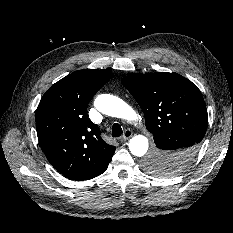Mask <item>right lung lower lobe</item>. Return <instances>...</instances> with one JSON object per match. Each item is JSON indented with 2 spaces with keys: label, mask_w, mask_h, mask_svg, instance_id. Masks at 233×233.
Instances as JSON below:
<instances>
[{
  "label": "right lung lower lobe",
  "mask_w": 233,
  "mask_h": 233,
  "mask_svg": "<svg viewBox=\"0 0 233 233\" xmlns=\"http://www.w3.org/2000/svg\"><path fill=\"white\" fill-rule=\"evenodd\" d=\"M107 168V167H106ZM106 168L102 171V172H100V174H102L105 170H106ZM99 174V175H100ZM96 176H98V175H95V176H92V177H84V176H81V175H77V176H75L74 178H72L71 180H75V181H84V180H89V179H92V178H94V177H96Z\"/></svg>",
  "instance_id": "98d812e1"
}]
</instances>
